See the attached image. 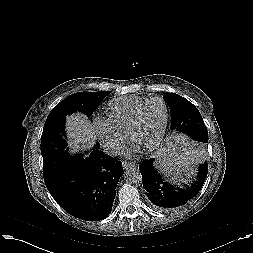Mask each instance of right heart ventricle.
<instances>
[{
  "instance_id": "e07e8e85",
  "label": "right heart ventricle",
  "mask_w": 253,
  "mask_h": 253,
  "mask_svg": "<svg viewBox=\"0 0 253 253\" xmlns=\"http://www.w3.org/2000/svg\"><path fill=\"white\" fill-rule=\"evenodd\" d=\"M147 99L148 97L135 95L112 99L107 107V120L117 131L126 133L134 112Z\"/></svg>"
}]
</instances>
